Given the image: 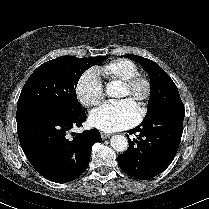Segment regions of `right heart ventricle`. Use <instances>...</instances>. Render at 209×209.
<instances>
[{
    "label": "right heart ventricle",
    "instance_id": "right-heart-ventricle-1",
    "mask_svg": "<svg viewBox=\"0 0 209 209\" xmlns=\"http://www.w3.org/2000/svg\"><path fill=\"white\" fill-rule=\"evenodd\" d=\"M96 73L107 84L119 85L138 73V67L129 59H115L97 68Z\"/></svg>",
    "mask_w": 209,
    "mask_h": 209
}]
</instances>
